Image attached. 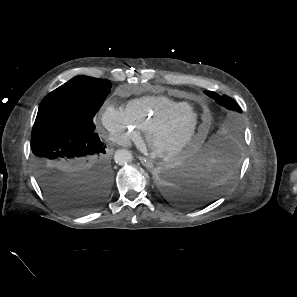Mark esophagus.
<instances>
[{"mask_svg":"<svg viewBox=\"0 0 297 297\" xmlns=\"http://www.w3.org/2000/svg\"><path fill=\"white\" fill-rule=\"evenodd\" d=\"M143 166H145L147 169H152L154 167V164L151 160L146 159L144 157L139 158Z\"/></svg>","mask_w":297,"mask_h":297,"instance_id":"1","label":"esophagus"}]
</instances>
